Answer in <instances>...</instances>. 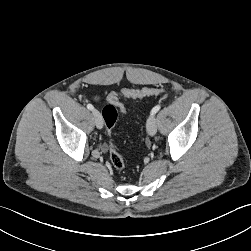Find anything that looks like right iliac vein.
Wrapping results in <instances>:
<instances>
[{"instance_id":"right-iliac-vein-1","label":"right iliac vein","mask_w":251,"mask_h":251,"mask_svg":"<svg viewBox=\"0 0 251 251\" xmlns=\"http://www.w3.org/2000/svg\"><path fill=\"white\" fill-rule=\"evenodd\" d=\"M92 114H93V118H94V122H95L96 127L98 129H101L103 127V119H102L100 112L98 110L94 109Z\"/></svg>"}]
</instances>
